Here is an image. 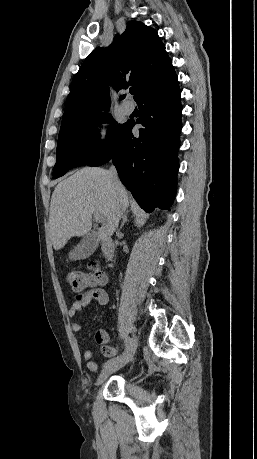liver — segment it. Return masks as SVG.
<instances>
[{"instance_id": "obj_1", "label": "liver", "mask_w": 257, "mask_h": 459, "mask_svg": "<svg viewBox=\"0 0 257 459\" xmlns=\"http://www.w3.org/2000/svg\"><path fill=\"white\" fill-rule=\"evenodd\" d=\"M128 206L124 186L113 183L108 170L99 167L78 170L58 183L52 194L49 227L53 248L60 250L70 238L88 234L94 214L103 221L97 239H109Z\"/></svg>"}]
</instances>
